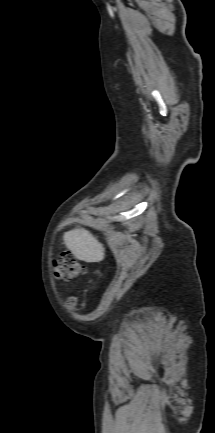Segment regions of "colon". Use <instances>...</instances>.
<instances>
[{"label": "colon", "instance_id": "5ec220e1", "mask_svg": "<svg viewBox=\"0 0 215 433\" xmlns=\"http://www.w3.org/2000/svg\"><path fill=\"white\" fill-rule=\"evenodd\" d=\"M84 272L83 266L70 252H62L55 263V275L61 279H73ZM74 304V300L70 301Z\"/></svg>", "mask_w": 215, "mask_h": 433}]
</instances>
